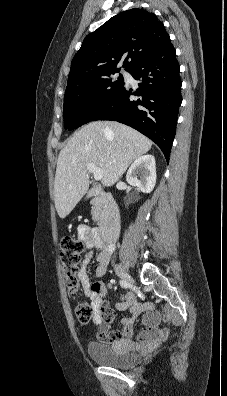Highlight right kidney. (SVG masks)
I'll return each instance as SVG.
<instances>
[{
    "mask_svg": "<svg viewBox=\"0 0 227 396\" xmlns=\"http://www.w3.org/2000/svg\"><path fill=\"white\" fill-rule=\"evenodd\" d=\"M126 181L143 193H150L156 184V163L152 155L137 158L130 166Z\"/></svg>",
    "mask_w": 227,
    "mask_h": 396,
    "instance_id": "1",
    "label": "right kidney"
}]
</instances>
